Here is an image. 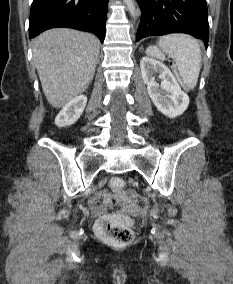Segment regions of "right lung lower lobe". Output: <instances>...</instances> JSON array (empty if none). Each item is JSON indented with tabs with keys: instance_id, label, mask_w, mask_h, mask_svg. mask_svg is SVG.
<instances>
[{
	"instance_id": "right-lung-lower-lobe-1",
	"label": "right lung lower lobe",
	"mask_w": 233,
	"mask_h": 284,
	"mask_svg": "<svg viewBox=\"0 0 233 284\" xmlns=\"http://www.w3.org/2000/svg\"><path fill=\"white\" fill-rule=\"evenodd\" d=\"M109 0H33L29 38L54 27L95 33L103 43Z\"/></svg>"
}]
</instances>
